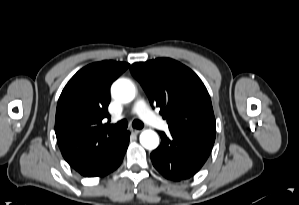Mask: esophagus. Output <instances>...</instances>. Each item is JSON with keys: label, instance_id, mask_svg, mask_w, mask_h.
<instances>
[{"label": "esophagus", "instance_id": "obj_1", "mask_svg": "<svg viewBox=\"0 0 299 205\" xmlns=\"http://www.w3.org/2000/svg\"><path fill=\"white\" fill-rule=\"evenodd\" d=\"M130 131L132 134H135V135H137L141 132V130H139V129H131Z\"/></svg>", "mask_w": 299, "mask_h": 205}]
</instances>
